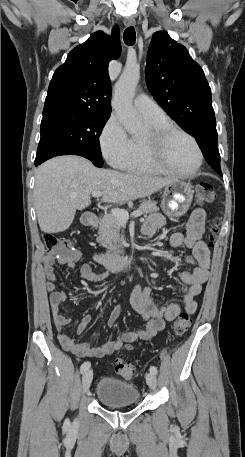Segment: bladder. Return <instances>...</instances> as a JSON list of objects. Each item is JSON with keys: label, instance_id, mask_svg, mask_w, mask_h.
<instances>
[{"label": "bladder", "instance_id": "1", "mask_svg": "<svg viewBox=\"0 0 245 457\" xmlns=\"http://www.w3.org/2000/svg\"><path fill=\"white\" fill-rule=\"evenodd\" d=\"M96 397L104 405L117 406L138 403L139 393L135 385L105 376L97 383Z\"/></svg>", "mask_w": 245, "mask_h": 457}]
</instances>
